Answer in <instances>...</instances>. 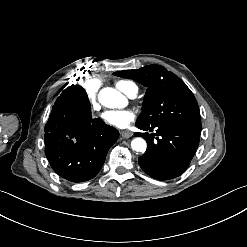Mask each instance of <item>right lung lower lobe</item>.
I'll list each match as a JSON object with an SVG mask.
<instances>
[{
  "label": "right lung lower lobe",
  "mask_w": 247,
  "mask_h": 247,
  "mask_svg": "<svg viewBox=\"0 0 247 247\" xmlns=\"http://www.w3.org/2000/svg\"><path fill=\"white\" fill-rule=\"evenodd\" d=\"M119 132L64 90L45 126V154L52 169L71 182L94 178Z\"/></svg>",
  "instance_id": "1"
}]
</instances>
